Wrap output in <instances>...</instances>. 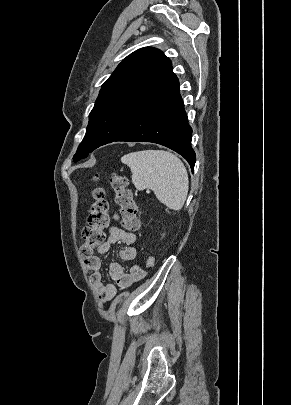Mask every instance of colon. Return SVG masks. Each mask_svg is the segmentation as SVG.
Masks as SVG:
<instances>
[{
    "label": "colon",
    "mask_w": 291,
    "mask_h": 405,
    "mask_svg": "<svg viewBox=\"0 0 291 405\" xmlns=\"http://www.w3.org/2000/svg\"><path fill=\"white\" fill-rule=\"evenodd\" d=\"M110 186L115 192L116 203L120 207L121 224L127 230H136L139 224L138 208L128 189L127 179L117 173L110 176ZM109 203L105 190L95 187L92 191V205L87 219V225L82 231L80 252L83 258L93 256L94 251L104 242L105 230L109 227ZM155 265V257L149 256L145 261L146 268Z\"/></svg>",
    "instance_id": "obj_1"
}]
</instances>
